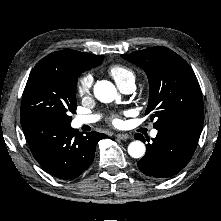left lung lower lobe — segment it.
I'll use <instances>...</instances> for the list:
<instances>
[{
    "mask_svg": "<svg viewBox=\"0 0 221 221\" xmlns=\"http://www.w3.org/2000/svg\"><path fill=\"white\" fill-rule=\"evenodd\" d=\"M157 130V136L152 138V144H147L146 154L137 166L142 173L153 179H164L177 174L190 161L202 125L182 122ZM134 137L144 140L141 134H135Z\"/></svg>",
    "mask_w": 221,
    "mask_h": 221,
    "instance_id": "left-lung-lower-lobe-1",
    "label": "left lung lower lobe"
}]
</instances>
